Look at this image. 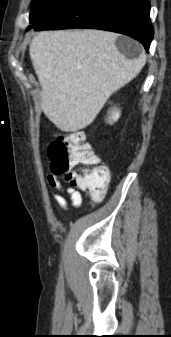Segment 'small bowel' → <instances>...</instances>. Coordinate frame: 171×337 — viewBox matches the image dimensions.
<instances>
[{
  "label": "small bowel",
  "mask_w": 171,
  "mask_h": 337,
  "mask_svg": "<svg viewBox=\"0 0 171 337\" xmlns=\"http://www.w3.org/2000/svg\"><path fill=\"white\" fill-rule=\"evenodd\" d=\"M47 182L49 186L54 190L53 199L54 202L65 212L68 211L67 201L64 198V194L69 195L71 204L73 207H80L82 204V195L81 192L73 186H65L60 178L53 174H47Z\"/></svg>",
  "instance_id": "1"
}]
</instances>
